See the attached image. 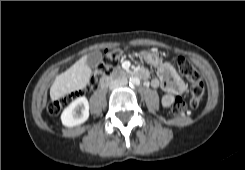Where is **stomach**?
I'll return each instance as SVG.
<instances>
[{
    "label": "stomach",
    "mask_w": 245,
    "mask_h": 170,
    "mask_svg": "<svg viewBox=\"0 0 245 170\" xmlns=\"http://www.w3.org/2000/svg\"><path fill=\"white\" fill-rule=\"evenodd\" d=\"M141 58L148 64L156 66L159 64L160 60L159 57L152 52L149 51H142Z\"/></svg>",
    "instance_id": "0dacf381"
}]
</instances>
